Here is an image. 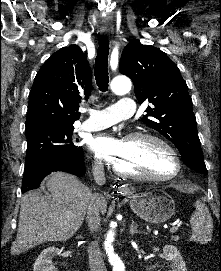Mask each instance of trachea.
Instances as JSON below:
<instances>
[{
  "mask_svg": "<svg viewBox=\"0 0 221 271\" xmlns=\"http://www.w3.org/2000/svg\"><path fill=\"white\" fill-rule=\"evenodd\" d=\"M108 54L109 40L106 36H103L99 41L95 62V80L101 92H106L109 86Z\"/></svg>",
  "mask_w": 221,
  "mask_h": 271,
  "instance_id": "1",
  "label": "trachea"
}]
</instances>
